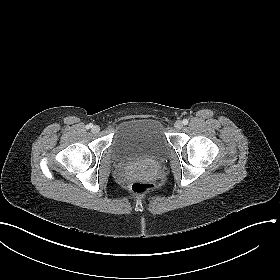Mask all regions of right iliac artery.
Returning <instances> with one entry per match:
<instances>
[{
	"mask_svg": "<svg viewBox=\"0 0 280 280\" xmlns=\"http://www.w3.org/2000/svg\"><path fill=\"white\" fill-rule=\"evenodd\" d=\"M93 127V124H88V125H86V129H90V128H92Z\"/></svg>",
	"mask_w": 280,
	"mask_h": 280,
	"instance_id": "1",
	"label": "right iliac artery"
}]
</instances>
